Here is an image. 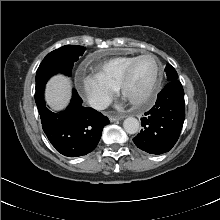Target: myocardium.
Here are the masks:
<instances>
[{
    "label": "myocardium",
    "instance_id": "obj_1",
    "mask_svg": "<svg viewBox=\"0 0 220 220\" xmlns=\"http://www.w3.org/2000/svg\"><path fill=\"white\" fill-rule=\"evenodd\" d=\"M147 56L153 57L156 61V74H155L154 80L151 83L148 90L146 91V93L141 98L127 99L126 98V89H127V86L130 82L133 69L139 60H141L142 58L147 57ZM161 78H162V64H161L159 58L151 52L143 53L141 55H138L135 59H133L130 62V64L127 66V68L125 69L123 76H122L120 83H119V87H118L119 92H120L121 96L124 97L125 99H127L132 105L142 106V105L146 104L152 98L154 93L157 91L158 86L161 81Z\"/></svg>",
    "mask_w": 220,
    "mask_h": 220
}]
</instances>
